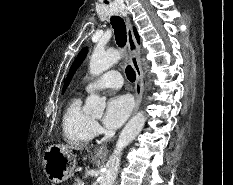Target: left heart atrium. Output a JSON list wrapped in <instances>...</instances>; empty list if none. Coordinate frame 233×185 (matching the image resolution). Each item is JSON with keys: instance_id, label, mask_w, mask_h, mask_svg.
<instances>
[{"instance_id": "obj_1", "label": "left heart atrium", "mask_w": 233, "mask_h": 185, "mask_svg": "<svg viewBox=\"0 0 233 185\" xmlns=\"http://www.w3.org/2000/svg\"><path fill=\"white\" fill-rule=\"evenodd\" d=\"M132 103L127 95L111 97L106 106L103 117L104 125L109 129L120 127L130 115Z\"/></svg>"}]
</instances>
